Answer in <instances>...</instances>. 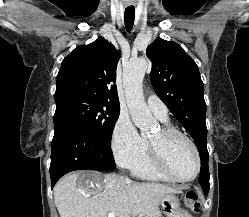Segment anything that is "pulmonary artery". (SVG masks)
<instances>
[{"mask_svg":"<svg viewBox=\"0 0 249 217\" xmlns=\"http://www.w3.org/2000/svg\"><path fill=\"white\" fill-rule=\"evenodd\" d=\"M147 104L152 113L162 122L168 121V108L157 95H149Z\"/></svg>","mask_w":249,"mask_h":217,"instance_id":"obj_1","label":"pulmonary artery"}]
</instances>
